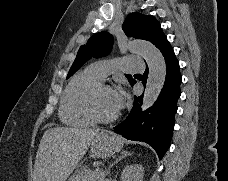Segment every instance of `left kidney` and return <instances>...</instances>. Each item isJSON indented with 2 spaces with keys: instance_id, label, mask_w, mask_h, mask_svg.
<instances>
[{
  "instance_id": "5707ae66",
  "label": "left kidney",
  "mask_w": 228,
  "mask_h": 181,
  "mask_svg": "<svg viewBox=\"0 0 228 181\" xmlns=\"http://www.w3.org/2000/svg\"><path fill=\"white\" fill-rule=\"evenodd\" d=\"M144 167L142 165H128L125 167L121 181H143Z\"/></svg>"
}]
</instances>
